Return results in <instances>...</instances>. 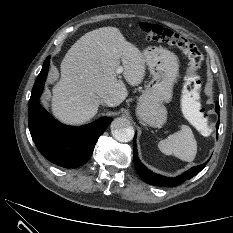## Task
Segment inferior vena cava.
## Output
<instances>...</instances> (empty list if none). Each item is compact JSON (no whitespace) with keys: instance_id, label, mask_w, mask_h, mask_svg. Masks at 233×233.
<instances>
[{"instance_id":"obj_1","label":"inferior vena cava","mask_w":233,"mask_h":233,"mask_svg":"<svg viewBox=\"0 0 233 233\" xmlns=\"http://www.w3.org/2000/svg\"><path fill=\"white\" fill-rule=\"evenodd\" d=\"M101 104L102 105H107L109 107H112L113 104H114V99L111 96L106 95V96L102 97Z\"/></svg>"}]
</instances>
